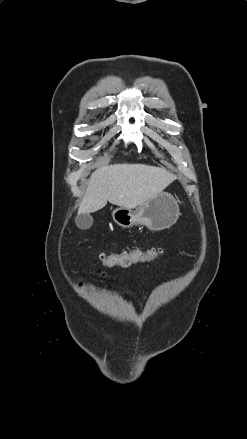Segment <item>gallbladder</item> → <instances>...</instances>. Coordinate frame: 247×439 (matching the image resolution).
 I'll return each instance as SVG.
<instances>
[{
  "mask_svg": "<svg viewBox=\"0 0 247 439\" xmlns=\"http://www.w3.org/2000/svg\"><path fill=\"white\" fill-rule=\"evenodd\" d=\"M76 225L79 229H89L93 224V218L88 213H80L75 218Z\"/></svg>",
  "mask_w": 247,
  "mask_h": 439,
  "instance_id": "1",
  "label": "gallbladder"
}]
</instances>
